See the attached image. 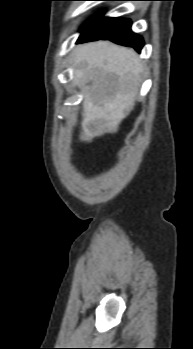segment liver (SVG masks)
Segmentation results:
<instances>
[{
  "instance_id": "6515ba94",
  "label": "liver",
  "mask_w": 193,
  "mask_h": 349,
  "mask_svg": "<svg viewBox=\"0 0 193 349\" xmlns=\"http://www.w3.org/2000/svg\"><path fill=\"white\" fill-rule=\"evenodd\" d=\"M74 66V83L84 94L80 139L115 133L137 99L144 70L138 54L109 41L90 42L75 48Z\"/></svg>"
}]
</instances>
